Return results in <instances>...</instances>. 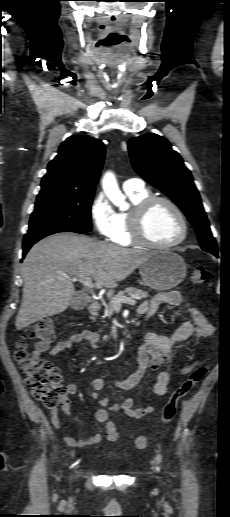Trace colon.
Returning a JSON list of instances; mask_svg holds the SVG:
<instances>
[{"mask_svg":"<svg viewBox=\"0 0 230 517\" xmlns=\"http://www.w3.org/2000/svg\"><path fill=\"white\" fill-rule=\"evenodd\" d=\"M209 278L208 270L202 266L195 267L191 275V281L195 285H205ZM54 338L55 326L52 320L36 321L26 327L15 352V360L22 370L29 390L46 408H55L65 394L61 375L51 362L30 353L26 348L25 340L37 339L50 342ZM208 371L209 367L206 365L195 368L188 378L172 392L159 418L160 423L166 424L174 418L180 400L207 375ZM107 435L110 440H117V433L113 425L108 427ZM135 446L137 449H144L147 446V438L143 435L137 436Z\"/></svg>","mask_w":230,"mask_h":517,"instance_id":"colon-1","label":"colon"}]
</instances>
